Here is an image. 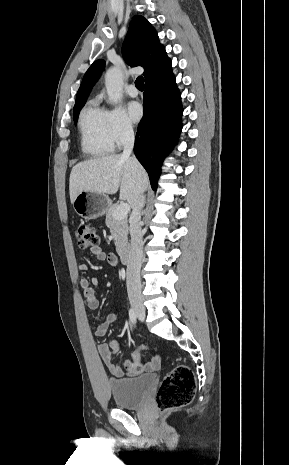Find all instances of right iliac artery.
Instances as JSON below:
<instances>
[{
	"instance_id": "obj_1",
	"label": "right iliac artery",
	"mask_w": 289,
	"mask_h": 465,
	"mask_svg": "<svg viewBox=\"0 0 289 465\" xmlns=\"http://www.w3.org/2000/svg\"><path fill=\"white\" fill-rule=\"evenodd\" d=\"M129 317H130V320L132 323H136V313L134 312V310L132 308H130L129 310Z\"/></svg>"
}]
</instances>
